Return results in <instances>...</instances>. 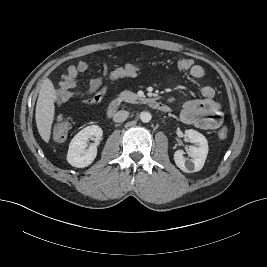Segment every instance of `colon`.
Here are the masks:
<instances>
[{"label":"colon","mask_w":267,"mask_h":267,"mask_svg":"<svg viewBox=\"0 0 267 267\" xmlns=\"http://www.w3.org/2000/svg\"><path fill=\"white\" fill-rule=\"evenodd\" d=\"M193 62L190 59H180L176 63V68L180 72L190 70ZM144 66L134 63H128L109 71L106 75V82H112L122 78H131L137 76L142 72ZM71 129V120L68 117H60L52 127L53 140L60 142L67 138ZM228 136V130L226 127H222L218 131V138L221 140L226 139Z\"/></svg>","instance_id":"1"}]
</instances>
